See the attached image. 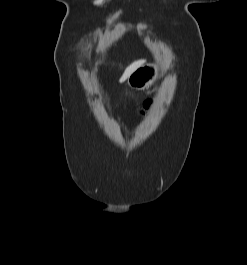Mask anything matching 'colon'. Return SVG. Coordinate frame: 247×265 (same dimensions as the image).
Listing matches in <instances>:
<instances>
[{"label":"colon","instance_id":"colon-1","mask_svg":"<svg viewBox=\"0 0 247 265\" xmlns=\"http://www.w3.org/2000/svg\"><path fill=\"white\" fill-rule=\"evenodd\" d=\"M150 104H151V101L150 100L146 101L144 103V108H148L150 106Z\"/></svg>","mask_w":247,"mask_h":265}]
</instances>
